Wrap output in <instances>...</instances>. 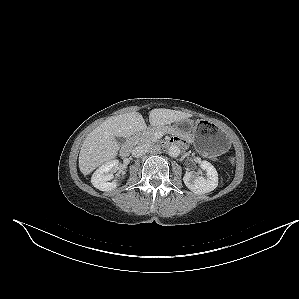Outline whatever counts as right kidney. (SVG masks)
Here are the masks:
<instances>
[{
	"mask_svg": "<svg viewBox=\"0 0 299 299\" xmlns=\"http://www.w3.org/2000/svg\"><path fill=\"white\" fill-rule=\"evenodd\" d=\"M118 160L109 161L100 166L92 175L91 183L101 191H110L118 186L117 180L110 181L114 178L112 171L117 169Z\"/></svg>",
	"mask_w": 299,
	"mask_h": 299,
	"instance_id": "obj_1",
	"label": "right kidney"
}]
</instances>
